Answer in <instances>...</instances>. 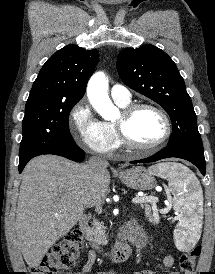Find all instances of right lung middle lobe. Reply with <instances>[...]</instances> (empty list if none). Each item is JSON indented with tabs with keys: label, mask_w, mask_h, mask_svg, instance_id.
Masks as SVG:
<instances>
[{
	"label": "right lung middle lobe",
	"mask_w": 215,
	"mask_h": 274,
	"mask_svg": "<svg viewBox=\"0 0 215 274\" xmlns=\"http://www.w3.org/2000/svg\"><path fill=\"white\" fill-rule=\"evenodd\" d=\"M76 103L31 101L26 103L20 160L31 159L48 151L75 146L68 125Z\"/></svg>",
	"instance_id": "right-lung-middle-lobe-1"
}]
</instances>
